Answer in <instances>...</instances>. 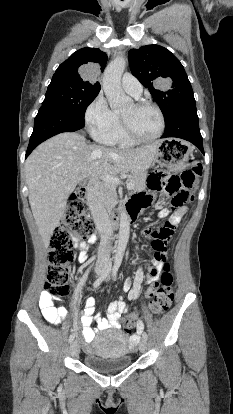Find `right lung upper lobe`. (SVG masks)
<instances>
[{
    "mask_svg": "<svg viewBox=\"0 0 233 414\" xmlns=\"http://www.w3.org/2000/svg\"><path fill=\"white\" fill-rule=\"evenodd\" d=\"M107 61L106 53L96 48H82L73 53L56 70L52 79H60L88 87L100 88L99 82L85 81L81 78L79 71L84 64L97 66L103 72Z\"/></svg>",
    "mask_w": 233,
    "mask_h": 414,
    "instance_id": "cb5924a9",
    "label": "right lung upper lobe"
}]
</instances>
